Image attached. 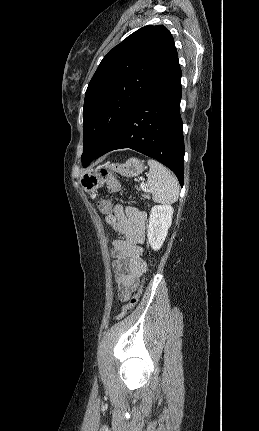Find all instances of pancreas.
I'll use <instances>...</instances> for the list:
<instances>
[{
  "label": "pancreas",
  "mask_w": 259,
  "mask_h": 431,
  "mask_svg": "<svg viewBox=\"0 0 259 431\" xmlns=\"http://www.w3.org/2000/svg\"><path fill=\"white\" fill-rule=\"evenodd\" d=\"M137 189H138V187H136ZM142 188V187H141ZM142 190L146 193V189L144 188H142ZM143 194V197H145V198H147V199H149L150 198V196L146 193V194Z\"/></svg>",
  "instance_id": "1"
}]
</instances>
